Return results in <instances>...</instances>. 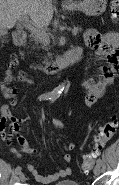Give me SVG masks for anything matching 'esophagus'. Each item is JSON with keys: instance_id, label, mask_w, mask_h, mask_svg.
<instances>
[{"instance_id": "1", "label": "esophagus", "mask_w": 119, "mask_h": 185, "mask_svg": "<svg viewBox=\"0 0 119 185\" xmlns=\"http://www.w3.org/2000/svg\"><path fill=\"white\" fill-rule=\"evenodd\" d=\"M64 4L70 5V4H71V0H65V1H64Z\"/></svg>"}]
</instances>
